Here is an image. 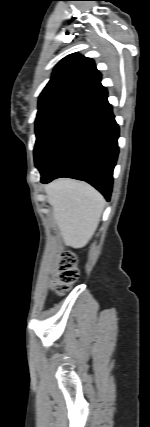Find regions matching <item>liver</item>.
Listing matches in <instances>:
<instances>
[{
  "mask_svg": "<svg viewBox=\"0 0 150 427\" xmlns=\"http://www.w3.org/2000/svg\"><path fill=\"white\" fill-rule=\"evenodd\" d=\"M45 192L64 243L84 247L100 222L103 196L89 184L72 179L55 180L45 186Z\"/></svg>",
  "mask_w": 150,
  "mask_h": 427,
  "instance_id": "1",
  "label": "liver"
}]
</instances>
